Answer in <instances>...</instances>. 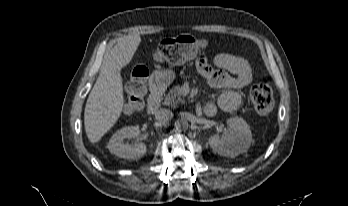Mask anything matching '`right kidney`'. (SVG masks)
<instances>
[{"instance_id": "1", "label": "right kidney", "mask_w": 348, "mask_h": 206, "mask_svg": "<svg viewBox=\"0 0 348 206\" xmlns=\"http://www.w3.org/2000/svg\"><path fill=\"white\" fill-rule=\"evenodd\" d=\"M138 135V127L126 126L113 134L108 143V149L110 153L124 159L136 160L142 157L147 150L144 143L139 142L134 146H130L128 143H124V139H131Z\"/></svg>"}]
</instances>
